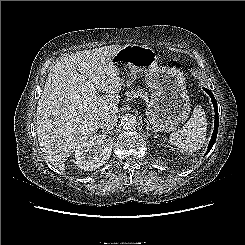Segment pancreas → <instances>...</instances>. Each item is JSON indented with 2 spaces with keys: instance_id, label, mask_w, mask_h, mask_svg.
<instances>
[{
  "instance_id": "1",
  "label": "pancreas",
  "mask_w": 245,
  "mask_h": 245,
  "mask_svg": "<svg viewBox=\"0 0 245 245\" xmlns=\"http://www.w3.org/2000/svg\"><path fill=\"white\" fill-rule=\"evenodd\" d=\"M125 95L129 98V99H134V98H142L144 100L147 99V92L139 89V90H131L125 93Z\"/></svg>"
}]
</instances>
